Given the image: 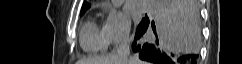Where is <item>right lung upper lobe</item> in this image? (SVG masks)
I'll list each match as a JSON object with an SVG mask.
<instances>
[{"label":"right lung upper lobe","instance_id":"cb5924a9","mask_svg":"<svg viewBox=\"0 0 242 64\" xmlns=\"http://www.w3.org/2000/svg\"><path fill=\"white\" fill-rule=\"evenodd\" d=\"M89 7H90V4H88L87 2H84L82 9H81V12L86 11Z\"/></svg>","mask_w":242,"mask_h":64}]
</instances>
